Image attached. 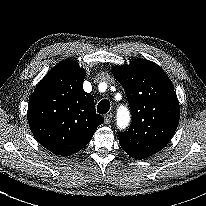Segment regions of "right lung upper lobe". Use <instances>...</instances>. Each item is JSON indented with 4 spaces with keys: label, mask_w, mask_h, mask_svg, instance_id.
I'll use <instances>...</instances> for the list:
<instances>
[{
    "label": "right lung upper lobe",
    "mask_w": 206,
    "mask_h": 206,
    "mask_svg": "<svg viewBox=\"0 0 206 206\" xmlns=\"http://www.w3.org/2000/svg\"><path fill=\"white\" fill-rule=\"evenodd\" d=\"M84 68L72 60L53 67L32 94L27 118L38 142L56 155L83 149L104 122L94 99L83 90Z\"/></svg>",
    "instance_id": "obj_1"
}]
</instances>
